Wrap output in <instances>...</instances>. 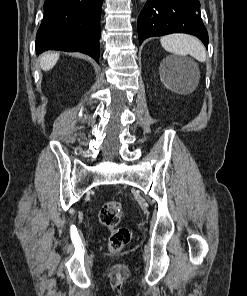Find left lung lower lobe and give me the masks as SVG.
<instances>
[{"label": "left lung lower lobe", "instance_id": "left-lung-lower-lobe-1", "mask_svg": "<svg viewBox=\"0 0 247 296\" xmlns=\"http://www.w3.org/2000/svg\"><path fill=\"white\" fill-rule=\"evenodd\" d=\"M170 33L197 36L208 48V33L198 0H148L138 19L140 44L148 37Z\"/></svg>", "mask_w": 247, "mask_h": 296}]
</instances>
